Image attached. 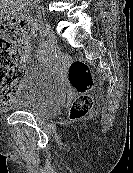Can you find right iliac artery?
<instances>
[{
  "label": "right iliac artery",
  "instance_id": "1",
  "mask_svg": "<svg viewBox=\"0 0 133 173\" xmlns=\"http://www.w3.org/2000/svg\"><path fill=\"white\" fill-rule=\"evenodd\" d=\"M48 41H43V47H48Z\"/></svg>",
  "mask_w": 133,
  "mask_h": 173
}]
</instances>
